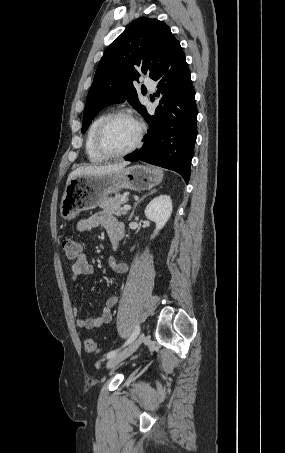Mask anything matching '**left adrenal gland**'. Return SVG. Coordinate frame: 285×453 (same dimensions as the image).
<instances>
[{"mask_svg":"<svg viewBox=\"0 0 285 453\" xmlns=\"http://www.w3.org/2000/svg\"><path fill=\"white\" fill-rule=\"evenodd\" d=\"M156 191H157V190H151V192H149L148 194L144 195L139 201H137V202L135 203V205H134V207H133V210H132V212H131V214H130L128 220H131L132 217L134 216V212H135L136 207L138 206V204H139L140 202H142L147 196H149V195L155 193Z\"/></svg>","mask_w":285,"mask_h":453,"instance_id":"left-adrenal-gland-1","label":"left adrenal gland"}]
</instances>
